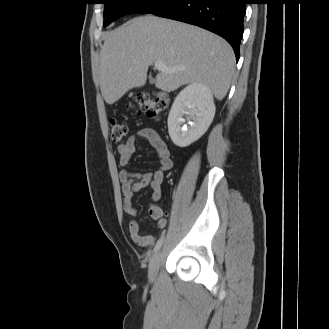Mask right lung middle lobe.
Here are the masks:
<instances>
[{"label":"right lung middle lobe","instance_id":"1","mask_svg":"<svg viewBox=\"0 0 329 329\" xmlns=\"http://www.w3.org/2000/svg\"><path fill=\"white\" fill-rule=\"evenodd\" d=\"M172 0H103L104 7V26L119 17L132 13H152Z\"/></svg>","mask_w":329,"mask_h":329}]
</instances>
